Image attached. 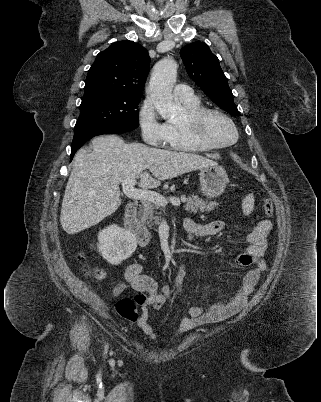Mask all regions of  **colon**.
<instances>
[{"label":"colon","mask_w":321,"mask_h":402,"mask_svg":"<svg viewBox=\"0 0 321 402\" xmlns=\"http://www.w3.org/2000/svg\"><path fill=\"white\" fill-rule=\"evenodd\" d=\"M263 210L266 215L271 216L273 213V203L270 199H264ZM79 262L83 265L84 271L94 276L95 278H101L103 271L99 268H90L85 264V257L83 254L78 255ZM147 297L144 293H138L133 297H123L116 305L117 312L125 319L129 321H136L138 319L137 307L145 303Z\"/></svg>","instance_id":"colon-1"}]
</instances>
